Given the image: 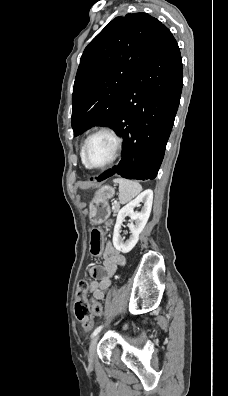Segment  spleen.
<instances>
[{
  "label": "spleen",
  "instance_id": "spleen-1",
  "mask_svg": "<svg viewBox=\"0 0 228 396\" xmlns=\"http://www.w3.org/2000/svg\"><path fill=\"white\" fill-rule=\"evenodd\" d=\"M114 182L119 184V201L121 204L131 201L142 191L141 185L136 181L115 178Z\"/></svg>",
  "mask_w": 228,
  "mask_h": 396
}]
</instances>
